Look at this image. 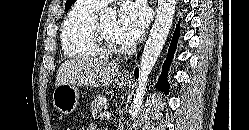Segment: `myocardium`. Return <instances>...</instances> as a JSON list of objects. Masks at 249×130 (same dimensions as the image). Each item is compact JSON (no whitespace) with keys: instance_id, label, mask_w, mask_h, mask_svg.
<instances>
[{"instance_id":"obj_1","label":"myocardium","mask_w":249,"mask_h":130,"mask_svg":"<svg viewBox=\"0 0 249 130\" xmlns=\"http://www.w3.org/2000/svg\"><path fill=\"white\" fill-rule=\"evenodd\" d=\"M92 32L94 42L102 54L113 56L123 52V47L105 33L100 19L97 17L93 22Z\"/></svg>"}]
</instances>
